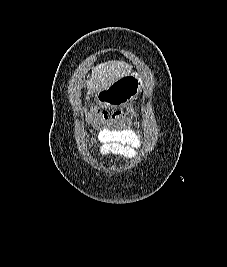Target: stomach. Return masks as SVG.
I'll list each match as a JSON object with an SVG mask.
<instances>
[{
    "instance_id": "0dacf381",
    "label": "stomach",
    "mask_w": 227,
    "mask_h": 267,
    "mask_svg": "<svg viewBox=\"0 0 227 267\" xmlns=\"http://www.w3.org/2000/svg\"><path fill=\"white\" fill-rule=\"evenodd\" d=\"M140 77L135 73H129L128 77H116V82H112V87H101V91H94V99H90V104H105V107H125L135 101V96H140Z\"/></svg>"
}]
</instances>
